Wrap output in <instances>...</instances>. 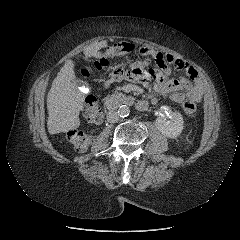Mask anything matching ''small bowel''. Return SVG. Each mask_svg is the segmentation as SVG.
<instances>
[{
    "label": "small bowel",
    "instance_id": "obj_1",
    "mask_svg": "<svg viewBox=\"0 0 240 240\" xmlns=\"http://www.w3.org/2000/svg\"><path fill=\"white\" fill-rule=\"evenodd\" d=\"M139 54L145 59L131 61L128 64L130 70H125V64L114 67L105 80L104 87L108 88L113 82L125 79L148 85L159 94H169L170 99L177 103H182L184 99H190L193 102L201 101V85L198 73L187 62L172 54H163L152 47H141ZM151 60L154 61L157 68L148 67ZM170 65L178 70H183L186 76L179 79H169ZM157 102L158 97L153 96L151 103L156 104Z\"/></svg>",
    "mask_w": 240,
    "mask_h": 240
}]
</instances>
